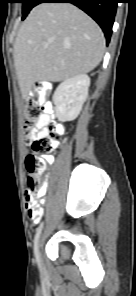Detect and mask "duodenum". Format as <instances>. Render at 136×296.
Wrapping results in <instances>:
<instances>
[{
	"instance_id": "duodenum-1",
	"label": "duodenum",
	"mask_w": 136,
	"mask_h": 296,
	"mask_svg": "<svg viewBox=\"0 0 136 296\" xmlns=\"http://www.w3.org/2000/svg\"><path fill=\"white\" fill-rule=\"evenodd\" d=\"M48 85L46 83H41L37 86L35 93L38 94L41 98H43V94L46 93Z\"/></svg>"
}]
</instances>
